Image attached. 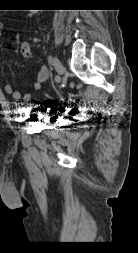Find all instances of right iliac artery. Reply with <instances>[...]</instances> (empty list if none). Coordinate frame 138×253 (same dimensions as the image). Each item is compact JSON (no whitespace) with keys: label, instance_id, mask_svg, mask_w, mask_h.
<instances>
[{"label":"right iliac artery","instance_id":"1","mask_svg":"<svg viewBox=\"0 0 138 253\" xmlns=\"http://www.w3.org/2000/svg\"><path fill=\"white\" fill-rule=\"evenodd\" d=\"M55 80H56V81H59V77H58V76H56Z\"/></svg>","mask_w":138,"mask_h":253}]
</instances>
